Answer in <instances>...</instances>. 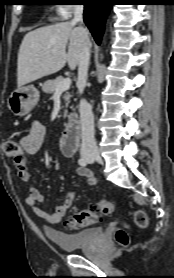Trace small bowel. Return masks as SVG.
Wrapping results in <instances>:
<instances>
[{
  "mask_svg": "<svg viewBox=\"0 0 174 278\" xmlns=\"http://www.w3.org/2000/svg\"><path fill=\"white\" fill-rule=\"evenodd\" d=\"M45 127L40 122H34L29 133L20 141L22 154L14 158V165L17 169L19 179L24 182H30L32 173L28 165V157L39 151L45 138ZM77 174L82 177L86 184L95 185L96 178L94 174L87 168L79 167ZM75 192L69 190L65 195V200L61 205L55 206L52 210H44L38 207V203L44 200V194L36 187H30L25 202L31 207L33 212L42 220L51 223H59L65 216L67 210L73 204Z\"/></svg>",
  "mask_w": 174,
  "mask_h": 278,
  "instance_id": "c3829d8e",
  "label": "small bowel"
}]
</instances>
